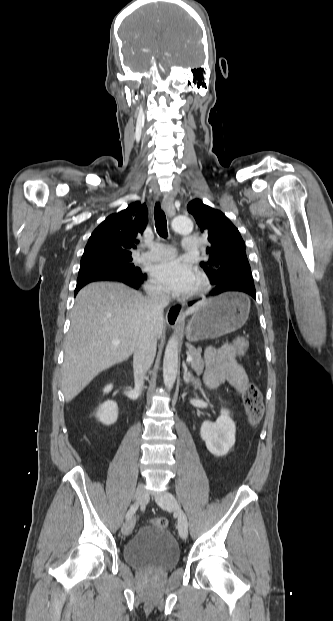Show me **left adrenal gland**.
Returning a JSON list of instances; mask_svg holds the SVG:
<instances>
[{"label":"left adrenal gland","instance_id":"a2214340","mask_svg":"<svg viewBox=\"0 0 333 621\" xmlns=\"http://www.w3.org/2000/svg\"><path fill=\"white\" fill-rule=\"evenodd\" d=\"M183 369H184V373H183V379L184 382L186 384H189L190 382L194 385L198 384L199 382V378H195L190 371H188V367L187 365L184 363L183 364Z\"/></svg>","mask_w":333,"mask_h":621}]
</instances>
